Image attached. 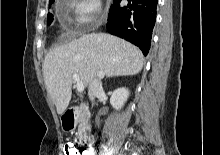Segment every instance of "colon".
Masks as SVG:
<instances>
[{"label": "colon", "instance_id": "5ec220e1", "mask_svg": "<svg viewBox=\"0 0 220 155\" xmlns=\"http://www.w3.org/2000/svg\"><path fill=\"white\" fill-rule=\"evenodd\" d=\"M81 145L84 144L81 142ZM79 143L67 142L64 145V153L65 155H89L88 152H84V149L81 147Z\"/></svg>", "mask_w": 220, "mask_h": 155}]
</instances>
